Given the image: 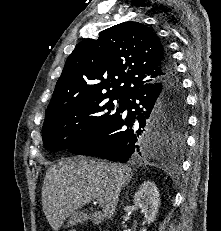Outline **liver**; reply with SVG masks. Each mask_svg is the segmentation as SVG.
<instances>
[{"label": "liver", "mask_w": 221, "mask_h": 231, "mask_svg": "<svg viewBox=\"0 0 221 231\" xmlns=\"http://www.w3.org/2000/svg\"><path fill=\"white\" fill-rule=\"evenodd\" d=\"M132 176L129 166L80 157L51 165L42 187V208L50 226L58 231L70 214L98 198L103 200L102 211L92 214L93 224L110 219Z\"/></svg>", "instance_id": "liver-1"}]
</instances>
